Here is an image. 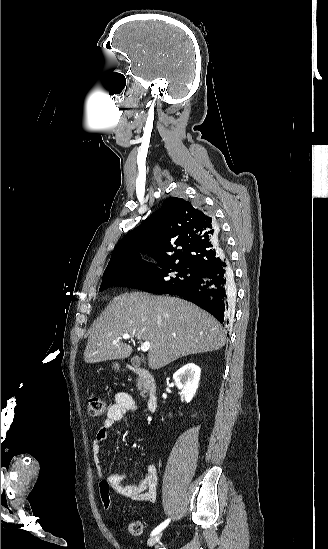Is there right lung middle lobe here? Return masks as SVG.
Masks as SVG:
<instances>
[{"mask_svg":"<svg viewBox=\"0 0 328 549\" xmlns=\"http://www.w3.org/2000/svg\"><path fill=\"white\" fill-rule=\"evenodd\" d=\"M196 272L178 264L126 260L105 270L99 291L120 285L162 294L192 281Z\"/></svg>","mask_w":328,"mask_h":549,"instance_id":"right-lung-middle-lobe-1","label":"right lung middle lobe"}]
</instances>
